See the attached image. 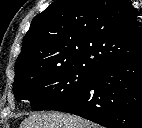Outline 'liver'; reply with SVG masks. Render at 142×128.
Segmentation results:
<instances>
[{
	"mask_svg": "<svg viewBox=\"0 0 142 128\" xmlns=\"http://www.w3.org/2000/svg\"><path fill=\"white\" fill-rule=\"evenodd\" d=\"M20 128H98L79 116L59 112L34 113L24 119Z\"/></svg>",
	"mask_w": 142,
	"mask_h": 128,
	"instance_id": "1",
	"label": "liver"
}]
</instances>
